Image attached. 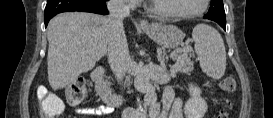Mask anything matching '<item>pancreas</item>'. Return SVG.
<instances>
[{
  "mask_svg": "<svg viewBox=\"0 0 273 118\" xmlns=\"http://www.w3.org/2000/svg\"><path fill=\"white\" fill-rule=\"evenodd\" d=\"M191 47H184L177 56V63L171 67V75L176 72L189 74L193 70V63L191 62Z\"/></svg>",
  "mask_w": 273,
  "mask_h": 118,
  "instance_id": "cf45deb5",
  "label": "pancreas"
}]
</instances>
